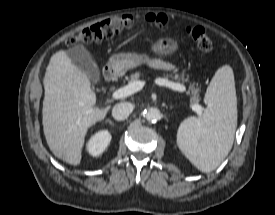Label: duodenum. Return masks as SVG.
I'll return each instance as SVG.
<instances>
[{
	"instance_id": "1",
	"label": "duodenum",
	"mask_w": 275,
	"mask_h": 215,
	"mask_svg": "<svg viewBox=\"0 0 275 215\" xmlns=\"http://www.w3.org/2000/svg\"><path fill=\"white\" fill-rule=\"evenodd\" d=\"M104 76L109 82H114L117 79V73L111 68L104 70Z\"/></svg>"
}]
</instances>
